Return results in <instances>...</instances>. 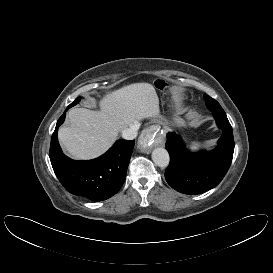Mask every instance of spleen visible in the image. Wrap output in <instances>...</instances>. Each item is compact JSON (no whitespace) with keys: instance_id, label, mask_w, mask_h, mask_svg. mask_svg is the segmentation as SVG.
I'll list each match as a JSON object with an SVG mask.
<instances>
[{"instance_id":"3e777b00","label":"spleen","mask_w":273,"mask_h":273,"mask_svg":"<svg viewBox=\"0 0 273 273\" xmlns=\"http://www.w3.org/2000/svg\"><path fill=\"white\" fill-rule=\"evenodd\" d=\"M200 146H201L200 143H198V142H193V143L191 144V149H192V150H197V149L200 148Z\"/></svg>"}]
</instances>
